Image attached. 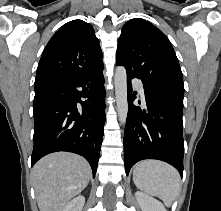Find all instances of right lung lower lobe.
I'll return each mask as SVG.
<instances>
[{
	"label": "right lung lower lobe",
	"mask_w": 221,
	"mask_h": 211,
	"mask_svg": "<svg viewBox=\"0 0 221 211\" xmlns=\"http://www.w3.org/2000/svg\"><path fill=\"white\" fill-rule=\"evenodd\" d=\"M102 70L35 91L32 166L49 153L68 151L83 156L95 176L105 123Z\"/></svg>",
	"instance_id": "right-lung-lower-lobe-1"
}]
</instances>
